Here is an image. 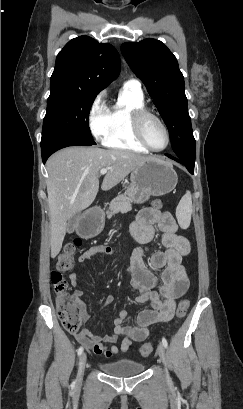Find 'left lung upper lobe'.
I'll use <instances>...</instances> for the list:
<instances>
[{
    "label": "left lung upper lobe",
    "instance_id": "left-lung-upper-lobe-1",
    "mask_svg": "<svg viewBox=\"0 0 243 409\" xmlns=\"http://www.w3.org/2000/svg\"><path fill=\"white\" fill-rule=\"evenodd\" d=\"M121 52L143 81L169 132L176 157L195 163V139L176 57L161 42L145 39L122 44Z\"/></svg>",
    "mask_w": 243,
    "mask_h": 409
}]
</instances>
